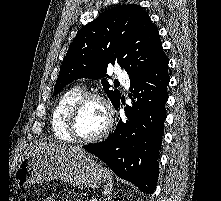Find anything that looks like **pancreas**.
Instances as JSON below:
<instances>
[{
  "label": "pancreas",
  "instance_id": "obj_1",
  "mask_svg": "<svg viewBox=\"0 0 221 201\" xmlns=\"http://www.w3.org/2000/svg\"><path fill=\"white\" fill-rule=\"evenodd\" d=\"M76 201H82V198L78 193L76 194Z\"/></svg>",
  "mask_w": 221,
  "mask_h": 201
}]
</instances>
